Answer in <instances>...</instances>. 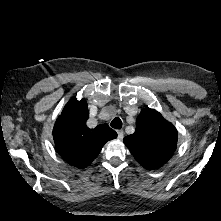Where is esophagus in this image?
<instances>
[{"label": "esophagus", "mask_w": 221, "mask_h": 221, "mask_svg": "<svg viewBox=\"0 0 221 221\" xmlns=\"http://www.w3.org/2000/svg\"><path fill=\"white\" fill-rule=\"evenodd\" d=\"M117 134H118L119 139H123V137H124V131L123 130H118Z\"/></svg>", "instance_id": "34e87169"}]
</instances>
